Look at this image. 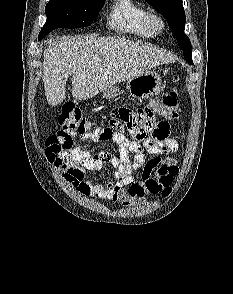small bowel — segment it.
<instances>
[{"label":"small bowel","mask_w":233,"mask_h":294,"mask_svg":"<svg viewBox=\"0 0 233 294\" xmlns=\"http://www.w3.org/2000/svg\"><path fill=\"white\" fill-rule=\"evenodd\" d=\"M115 121H108V129H125L122 132H103L96 129L86 137L112 141L119 146V156L102 149H77L69 159H47L61 171V178L85 197L107 200L131 207L144 202L149 194H158L169 189L178 174V165L170 154L178 150V143L169 136L171 123L160 117L161 110L149 108H117ZM54 136L46 141V152ZM142 141V144L139 142ZM145 154H155L146 160ZM47 156V155H46ZM104 165L116 168L114 177L95 184L86 179L89 171L100 170ZM142 168L140 181H135L133 171Z\"/></svg>","instance_id":"1"}]
</instances>
